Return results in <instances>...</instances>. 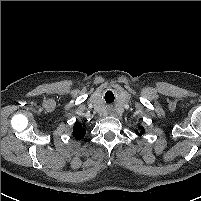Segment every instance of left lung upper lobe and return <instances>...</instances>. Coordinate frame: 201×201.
<instances>
[{
  "mask_svg": "<svg viewBox=\"0 0 201 201\" xmlns=\"http://www.w3.org/2000/svg\"><path fill=\"white\" fill-rule=\"evenodd\" d=\"M139 129H140V132H137V134H138V135H142L145 130H144V128H142V127H140Z\"/></svg>",
  "mask_w": 201,
  "mask_h": 201,
  "instance_id": "1",
  "label": "left lung upper lobe"
}]
</instances>
